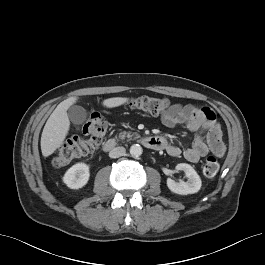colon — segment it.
I'll return each mask as SVG.
<instances>
[{"label":"colon","mask_w":265,"mask_h":265,"mask_svg":"<svg viewBox=\"0 0 265 265\" xmlns=\"http://www.w3.org/2000/svg\"><path fill=\"white\" fill-rule=\"evenodd\" d=\"M130 105L131 108L151 116H164L170 107L167 99L148 96L135 98ZM107 127V121L101 114H90L81 127L82 136H75L58 148L53 157L54 166H65L77 158L94 152L104 139ZM218 171V159L215 156L207 157L203 165L204 175L214 177Z\"/></svg>","instance_id":"1"}]
</instances>
